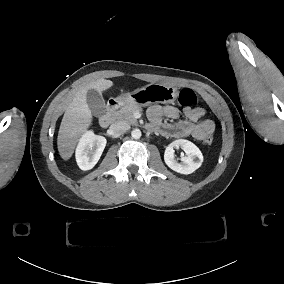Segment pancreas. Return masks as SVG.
<instances>
[{"mask_svg": "<svg viewBox=\"0 0 284 284\" xmlns=\"http://www.w3.org/2000/svg\"><path fill=\"white\" fill-rule=\"evenodd\" d=\"M144 108L141 105H125L120 110L112 112L115 120L124 121L131 126H137V120L133 117L135 112L142 113Z\"/></svg>", "mask_w": 284, "mask_h": 284, "instance_id": "obj_1", "label": "pancreas"}]
</instances>
